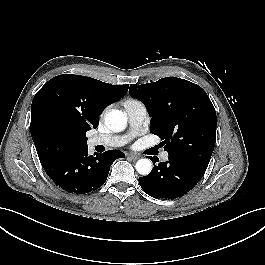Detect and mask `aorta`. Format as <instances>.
<instances>
[{"label": "aorta", "mask_w": 265, "mask_h": 265, "mask_svg": "<svg viewBox=\"0 0 265 265\" xmlns=\"http://www.w3.org/2000/svg\"><path fill=\"white\" fill-rule=\"evenodd\" d=\"M105 125L114 132H120L127 125V116L120 110H112L105 115ZM135 167L139 174L145 176L152 171V162L147 158L140 159Z\"/></svg>", "instance_id": "obj_1"}]
</instances>
